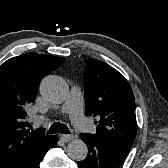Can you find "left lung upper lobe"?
<instances>
[{
    "label": "left lung upper lobe",
    "mask_w": 168,
    "mask_h": 168,
    "mask_svg": "<svg viewBox=\"0 0 168 168\" xmlns=\"http://www.w3.org/2000/svg\"><path fill=\"white\" fill-rule=\"evenodd\" d=\"M85 62V113L100 119L92 135L129 152L137 133L132 89L108 64L96 59Z\"/></svg>",
    "instance_id": "1"
}]
</instances>
